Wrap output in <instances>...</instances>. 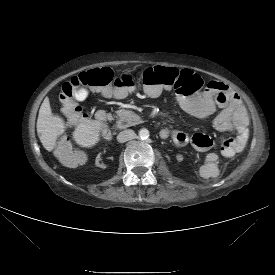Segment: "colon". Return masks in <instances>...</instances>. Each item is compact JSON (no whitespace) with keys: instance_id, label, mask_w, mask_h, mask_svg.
I'll return each instance as SVG.
<instances>
[{"instance_id":"1","label":"colon","mask_w":275,"mask_h":275,"mask_svg":"<svg viewBox=\"0 0 275 275\" xmlns=\"http://www.w3.org/2000/svg\"><path fill=\"white\" fill-rule=\"evenodd\" d=\"M138 79L136 84L126 75L115 77L112 70L107 67L83 71L62 85L59 99L62 104L68 105L75 112L72 120L80 122L84 116L78 112L74 98L79 101L86 100L92 89H98L102 95L111 99H127L135 102L143 93L152 98L158 97L163 89L181 95H195L204 85L202 79L190 70L159 66L147 68ZM221 153L226 157L236 153L233 139L227 138L222 142Z\"/></svg>"}]
</instances>
